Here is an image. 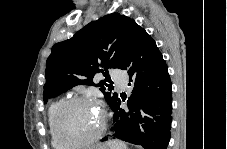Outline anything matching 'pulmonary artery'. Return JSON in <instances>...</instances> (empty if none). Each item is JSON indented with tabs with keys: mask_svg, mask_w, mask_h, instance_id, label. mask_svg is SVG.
I'll list each match as a JSON object with an SVG mask.
<instances>
[{
	"mask_svg": "<svg viewBox=\"0 0 227 149\" xmlns=\"http://www.w3.org/2000/svg\"><path fill=\"white\" fill-rule=\"evenodd\" d=\"M112 79L115 84H117L120 87H126L127 79L126 75L122 73L119 70H113L112 71Z\"/></svg>",
	"mask_w": 227,
	"mask_h": 149,
	"instance_id": "obj_1",
	"label": "pulmonary artery"
}]
</instances>
